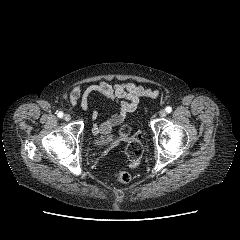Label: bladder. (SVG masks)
I'll return each instance as SVG.
<instances>
[{
    "label": "bladder",
    "instance_id": "bladder-1",
    "mask_svg": "<svg viewBox=\"0 0 240 240\" xmlns=\"http://www.w3.org/2000/svg\"><path fill=\"white\" fill-rule=\"evenodd\" d=\"M115 141V138L112 134L108 133L104 136H100V137H97L94 139L93 143L96 145V146H100V147H103V146H106L108 144H111Z\"/></svg>",
    "mask_w": 240,
    "mask_h": 240
}]
</instances>
